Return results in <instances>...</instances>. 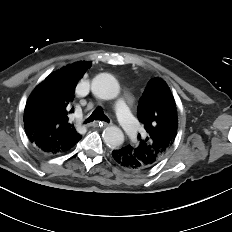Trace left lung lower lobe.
Masks as SVG:
<instances>
[{"label": "left lung lower lobe", "instance_id": "left-lung-lower-lobe-1", "mask_svg": "<svg viewBox=\"0 0 232 232\" xmlns=\"http://www.w3.org/2000/svg\"><path fill=\"white\" fill-rule=\"evenodd\" d=\"M112 158L118 166L128 171L140 172L147 169L134 155L130 145L113 150Z\"/></svg>", "mask_w": 232, "mask_h": 232}]
</instances>
